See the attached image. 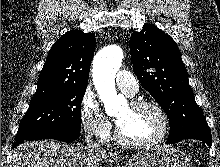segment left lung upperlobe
Instances as JSON below:
<instances>
[{
  "label": "left lung upper lobe",
  "instance_id": "obj_1",
  "mask_svg": "<svg viewBox=\"0 0 220 167\" xmlns=\"http://www.w3.org/2000/svg\"><path fill=\"white\" fill-rule=\"evenodd\" d=\"M130 51L136 76L167 114L168 139L210 132L195 102L185 64L173 38L148 25L131 34Z\"/></svg>",
  "mask_w": 220,
  "mask_h": 167
}]
</instances>
